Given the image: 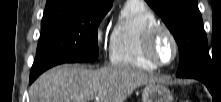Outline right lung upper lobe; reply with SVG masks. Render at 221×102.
<instances>
[{"label":"right lung upper lobe","mask_w":221,"mask_h":102,"mask_svg":"<svg viewBox=\"0 0 221 102\" xmlns=\"http://www.w3.org/2000/svg\"><path fill=\"white\" fill-rule=\"evenodd\" d=\"M113 0H47L45 11L86 6L90 8H111Z\"/></svg>","instance_id":"cb5924a9"}]
</instances>
